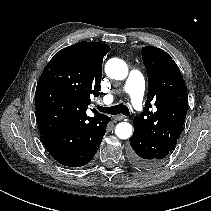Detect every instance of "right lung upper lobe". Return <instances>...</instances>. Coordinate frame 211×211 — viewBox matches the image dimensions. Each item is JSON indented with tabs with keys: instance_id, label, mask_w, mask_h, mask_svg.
Masks as SVG:
<instances>
[{
	"instance_id": "right-lung-upper-lobe-1",
	"label": "right lung upper lobe",
	"mask_w": 211,
	"mask_h": 211,
	"mask_svg": "<svg viewBox=\"0 0 211 211\" xmlns=\"http://www.w3.org/2000/svg\"><path fill=\"white\" fill-rule=\"evenodd\" d=\"M109 51L110 47L104 43L78 42L60 50L49 65L59 64L64 76L73 81L78 89L80 100L88 105L91 102L90 95L97 97L100 94L103 57Z\"/></svg>"
}]
</instances>
